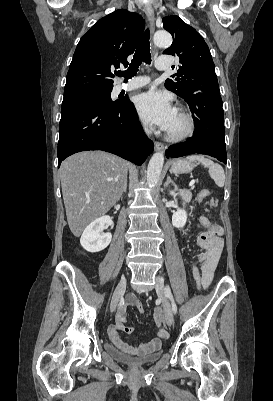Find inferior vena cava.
Here are the masks:
<instances>
[{"label": "inferior vena cava", "instance_id": "1", "mask_svg": "<svg viewBox=\"0 0 273 401\" xmlns=\"http://www.w3.org/2000/svg\"><path fill=\"white\" fill-rule=\"evenodd\" d=\"M145 132H147V134H149V132H151V130H149V128H145Z\"/></svg>", "mask_w": 273, "mask_h": 401}]
</instances>
